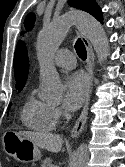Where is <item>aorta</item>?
Instances as JSON below:
<instances>
[{"label":"aorta","instance_id":"obj_1","mask_svg":"<svg viewBox=\"0 0 125 167\" xmlns=\"http://www.w3.org/2000/svg\"><path fill=\"white\" fill-rule=\"evenodd\" d=\"M71 25H76L80 32L91 42L99 60L104 61L109 55V42L101 24L91 15L74 11L54 20L38 35L37 50L41 60L42 93L44 100L58 101L62 96V84L52 65L51 57L66 37ZM89 150L86 144L79 146L69 167H87Z\"/></svg>","mask_w":125,"mask_h":167}]
</instances>
